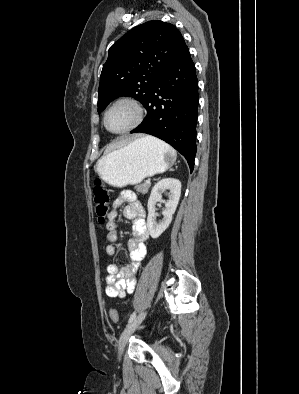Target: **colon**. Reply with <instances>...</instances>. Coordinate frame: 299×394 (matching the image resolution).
Masks as SVG:
<instances>
[{
  "mask_svg": "<svg viewBox=\"0 0 299 394\" xmlns=\"http://www.w3.org/2000/svg\"><path fill=\"white\" fill-rule=\"evenodd\" d=\"M93 201L97 219L100 223H104L108 216L110 195L100 179H96L94 183ZM110 318L114 323L118 321L119 315L116 309L110 311Z\"/></svg>",
  "mask_w": 299,
  "mask_h": 394,
  "instance_id": "colon-1",
  "label": "colon"
}]
</instances>
